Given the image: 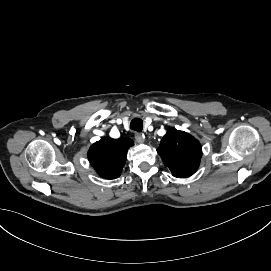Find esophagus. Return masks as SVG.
Returning a JSON list of instances; mask_svg holds the SVG:
<instances>
[{
	"instance_id": "obj_1",
	"label": "esophagus",
	"mask_w": 271,
	"mask_h": 271,
	"mask_svg": "<svg viewBox=\"0 0 271 271\" xmlns=\"http://www.w3.org/2000/svg\"><path fill=\"white\" fill-rule=\"evenodd\" d=\"M135 139L138 143H144V141H145L142 134H140V133L135 134Z\"/></svg>"
}]
</instances>
